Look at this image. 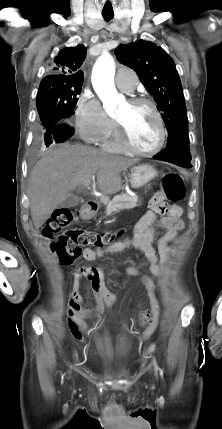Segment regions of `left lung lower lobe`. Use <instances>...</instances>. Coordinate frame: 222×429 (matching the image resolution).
<instances>
[{
	"instance_id": "0a47b994",
	"label": "left lung lower lobe",
	"mask_w": 222,
	"mask_h": 429,
	"mask_svg": "<svg viewBox=\"0 0 222 429\" xmlns=\"http://www.w3.org/2000/svg\"><path fill=\"white\" fill-rule=\"evenodd\" d=\"M154 158L184 168L192 167L190 148L180 144L167 147L165 150L155 155Z\"/></svg>"
}]
</instances>
